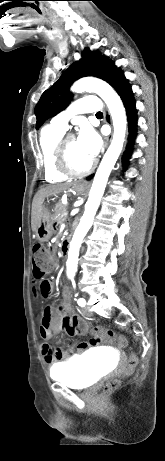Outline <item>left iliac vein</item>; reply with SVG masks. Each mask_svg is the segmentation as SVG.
I'll use <instances>...</instances> for the list:
<instances>
[{"mask_svg":"<svg viewBox=\"0 0 165 461\" xmlns=\"http://www.w3.org/2000/svg\"><path fill=\"white\" fill-rule=\"evenodd\" d=\"M82 313H83L85 316H92V315H93V313L90 311V309H89L87 306L83 307Z\"/></svg>","mask_w":165,"mask_h":461,"instance_id":"obj_1","label":"left iliac vein"}]
</instances>
